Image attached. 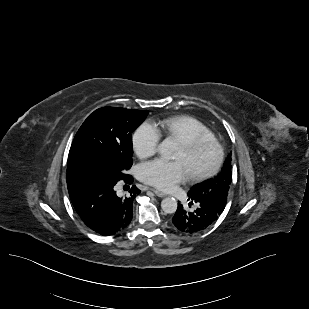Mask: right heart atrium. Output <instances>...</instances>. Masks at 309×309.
I'll list each match as a JSON object with an SVG mask.
<instances>
[{"label": "right heart atrium", "mask_w": 309, "mask_h": 309, "mask_svg": "<svg viewBox=\"0 0 309 309\" xmlns=\"http://www.w3.org/2000/svg\"><path fill=\"white\" fill-rule=\"evenodd\" d=\"M161 140L159 129L150 121L140 124L132 134V146L140 158L152 156Z\"/></svg>", "instance_id": "d8ad5b80"}]
</instances>
